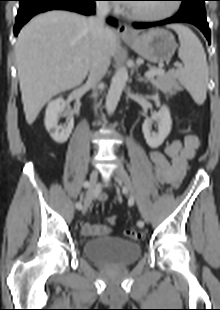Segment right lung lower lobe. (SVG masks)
<instances>
[{
    "instance_id": "1",
    "label": "right lung lower lobe",
    "mask_w": 220,
    "mask_h": 310,
    "mask_svg": "<svg viewBox=\"0 0 220 310\" xmlns=\"http://www.w3.org/2000/svg\"><path fill=\"white\" fill-rule=\"evenodd\" d=\"M20 7L16 17L14 34L18 32L33 16L38 13L53 9H62L78 12L84 15L94 14L96 0H18ZM111 23L116 25V20L111 19Z\"/></svg>"
}]
</instances>
